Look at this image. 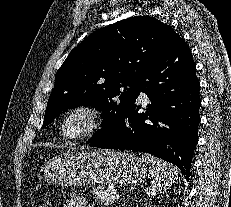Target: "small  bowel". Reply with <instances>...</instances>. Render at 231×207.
<instances>
[{
	"label": "small bowel",
	"mask_w": 231,
	"mask_h": 207,
	"mask_svg": "<svg viewBox=\"0 0 231 207\" xmlns=\"http://www.w3.org/2000/svg\"><path fill=\"white\" fill-rule=\"evenodd\" d=\"M63 207H95L88 203L82 195H72L63 204Z\"/></svg>",
	"instance_id": "c3829d8e"
}]
</instances>
